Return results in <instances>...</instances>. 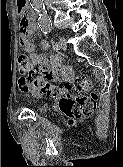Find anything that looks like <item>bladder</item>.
Here are the masks:
<instances>
[{
    "mask_svg": "<svg viewBox=\"0 0 123 167\" xmlns=\"http://www.w3.org/2000/svg\"><path fill=\"white\" fill-rule=\"evenodd\" d=\"M37 111H39V112H43V111H45V107L44 106H37Z\"/></svg>",
    "mask_w": 123,
    "mask_h": 167,
    "instance_id": "obj_1",
    "label": "bladder"
}]
</instances>
